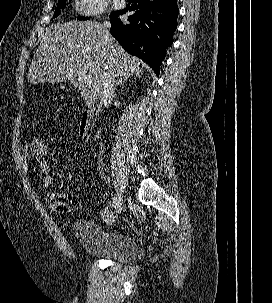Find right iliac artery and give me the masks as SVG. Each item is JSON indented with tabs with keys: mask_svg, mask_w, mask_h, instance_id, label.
Instances as JSON below:
<instances>
[{
	"mask_svg": "<svg viewBox=\"0 0 272 303\" xmlns=\"http://www.w3.org/2000/svg\"><path fill=\"white\" fill-rule=\"evenodd\" d=\"M117 197H113V203H114V205H115V207H116V205H117ZM115 209V208H114Z\"/></svg>",
	"mask_w": 272,
	"mask_h": 303,
	"instance_id": "82829eb1",
	"label": "right iliac artery"
}]
</instances>
